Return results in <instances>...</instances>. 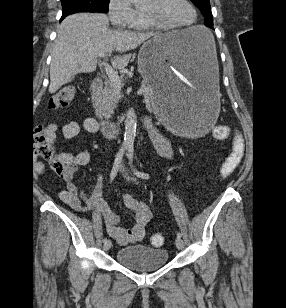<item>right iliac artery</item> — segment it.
Listing matches in <instances>:
<instances>
[{"mask_svg": "<svg viewBox=\"0 0 286 308\" xmlns=\"http://www.w3.org/2000/svg\"><path fill=\"white\" fill-rule=\"evenodd\" d=\"M126 150H127V146L124 145L118 151L116 158H115V161H114V166H113L111 174H110V182H112L114 180V178L116 177L117 172H118V167H119V165L122 161V158H123ZM106 241H107V238H104L103 242L105 243Z\"/></svg>", "mask_w": 286, "mask_h": 308, "instance_id": "right-iliac-artery-1", "label": "right iliac artery"}]
</instances>
